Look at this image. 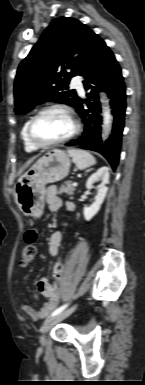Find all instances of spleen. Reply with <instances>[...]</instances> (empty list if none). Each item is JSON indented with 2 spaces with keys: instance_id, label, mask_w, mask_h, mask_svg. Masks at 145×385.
<instances>
[{
  "instance_id": "spleen-1",
  "label": "spleen",
  "mask_w": 145,
  "mask_h": 385,
  "mask_svg": "<svg viewBox=\"0 0 145 385\" xmlns=\"http://www.w3.org/2000/svg\"><path fill=\"white\" fill-rule=\"evenodd\" d=\"M68 153L79 170H84L96 164L94 156L85 150L69 149Z\"/></svg>"
}]
</instances>
